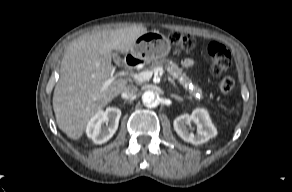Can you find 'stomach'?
Here are the masks:
<instances>
[{"mask_svg":"<svg viewBox=\"0 0 292 192\" xmlns=\"http://www.w3.org/2000/svg\"><path fill=\"white\" fill-rule=\"evenodd\" d=\"M170 51L169 40L158 31H151L137 38L131 48V53L145 62L163 59Z\"/></svg>","mask_w":292,"mask_h":192,"instance_id":"0dacf381","label":"stomach"}]
</instances>
